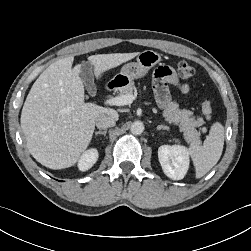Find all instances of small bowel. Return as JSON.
<instances>
[{
  "label": "small bowel",
  "mask_w": 251,
  "mask_h": 251,
  "mask_svg": "<svg viewBox=\"0 0 251 251\" xmlns=\"http://www.w3.org/2000/svg\"><path fill=\"white\" fill-rule=\"evenodd\" d=\"M168 85L177 87L183 94L190 92V86L180 82L172 68L168 66L159 67L154 73L153 87L156 99L161 106H165L169 101Z\"/></svg>",
  "instance_id": "small-bowel-1"
}]
</instances>
